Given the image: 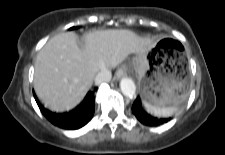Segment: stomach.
I'll return each instance as SVG.
<instances>
[{"instance_id": "1", "label": "stomach", "mask_w": 225, "mask_h": 155, "mask_svg": "<svg viewBox=\"0 0 225 155\" xmlns=\"http://www.w3.org/2000/svg\"><path fill=\"white\" fill-rule=\"evenodd\" d=\"M133 65L144 102L166 107L178 105L187 97L189 79L184 69L159 57L156 46L145 57L136 55Z\"/></svg>"}]
</instances>
